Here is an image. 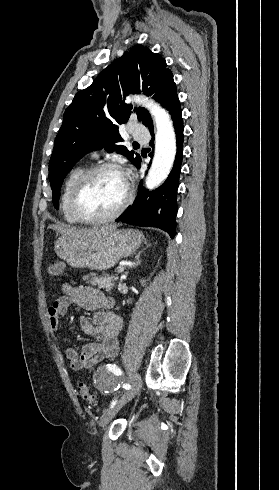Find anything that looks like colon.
<instances>
[{
    "label": "colon",
    "instance_id": "obj_1",
    "mask_svg": "<svg viewBox=\"0 0 279 490\" xmlns=\"http://www.w3.org/2000/svg\"><path fill=\"white\" fill-rule=\"evenodd\" d=\"M64 263L62 261H53L47 265L46 271L50 276L61 278L64 276ZM78 392L81 399L87 403L96 402L94 391L84 382H79Z\"/></svg>",
    "mask_w": 279,
    "mask_h": 490
}]
</instances>
